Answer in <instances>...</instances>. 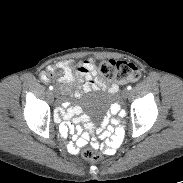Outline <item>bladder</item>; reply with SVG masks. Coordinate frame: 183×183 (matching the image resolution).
<instances>
[{
	"label": "bladder",
	"instance_id": "bladder-1",
	"mask_svg": "<svg viewBox=\"0 0 183 183\" xmlns=\"http://www.w3.org/2000/svg\"><path fill=\"white\" fill-rule=\"evenodd\" d=\"M111 96L101 90L94 91L84 98V105L92 115H100L108 110Z\"/></svg>",
	"mask_w": 183,
	"mask_h": 183
}]
</instances>
